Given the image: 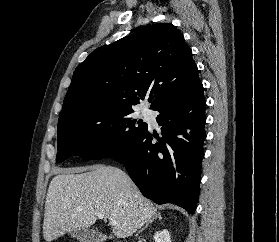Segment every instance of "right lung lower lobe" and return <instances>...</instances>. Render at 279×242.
I'll list each match as a JSON object with an SVG mask.
<instances>
[{
    "label": "right lung lower lobe",
    "instance_id": "right-lung-lower-lobe-1",
    "mask_svg": "<svg viewBox=\"0 0 279 242\" xmlns=\"http://www.w3.org/2000/svg\"><path fill=\"white\" fill-rule=\"evenodd\" d=\"M203 86L156 109L162 138L150 128L110 158L124 164L142 194L157 204L174 203L194 214L204 158ZM156 138L158 142H154Z\"/></svg>",
    "mask_w": 279,
    "mask_h": 242
}]
</instances>
